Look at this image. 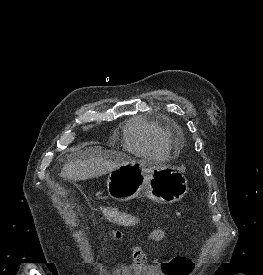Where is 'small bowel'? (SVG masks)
Instances as JSON below:
<instances>
[{"label":"small bowel","mask_w":263,"mask_h":275,"mask_svg":"<svg viewBox=\"0 0 263 275\" xmlns=\"http://www.w3.org/2000/svg\"><path fill=\"white\" fill-rule=\"evenodd\" d=\"M166 233L162 229H153L148 232V238L152 242H158L161 241L165 237ZM115 236L117 238L121 237L120 232H116ZM147 255L145 251L140 246H134L133 247V269L135 272H140L142 266L146 263ZM153 263L157 266H159L162 271L167 274L169 271V262H162L158 260L156 257L153 258ZM193 269V265L184 272V275H189Z\"/></svg>","instance_id":"c3829d8e"}]
</instances>
